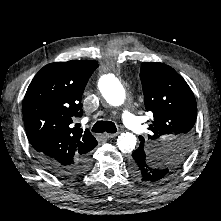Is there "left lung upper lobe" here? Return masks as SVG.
I'll use <instances>...</instances> for the list:
<instances>
[{
	"label": "left lung upper lobe",
	"mask_w": 221,
	"mask_h": 221,
	"mask_svg": "<svg viewBox=\"0 0 221 221\" xmlns=\"http://www.w3.org/2000/svg\"><path fill=\"white\" fill-rule=\"evenodd\" d=\"M140 78L146 110L154 117L149 126V161L163 173L155 184L169 179L185 160L194 139L197 106L186 81L168 65L143 62Z\"/></svg>",
	"instance_id": "left-lung-upper-lobe-1"
}]
</instances>
